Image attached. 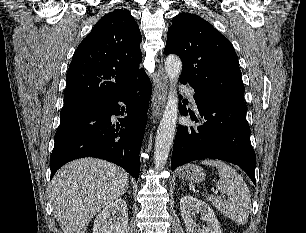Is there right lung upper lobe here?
<instances>
[{"label":"right lung upper lobe","mask_w":306,"mask_h":233,"mask_svg":"<svg viewBox=\"0 0 306 233\" xmlns=\"http://www.w3.org/2000/svg\"><path fill=\"white\" fill-rule=\"evenodd\" d=\"M142 36L131 13L102 17L79 44L66 75L64 107L98 104L123 94L145 74L139 69Z\"/></svg>","instance_id":"1"}]
</instances>
